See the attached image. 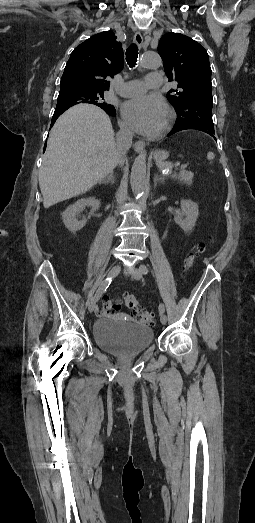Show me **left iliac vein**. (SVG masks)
<instances>
[{"label": "left iliac vein", "instance_id": "left-iliac-vein-1", "mask_svg": "<svg viewBox=\"0 0 255 523\" xmlns=\"http://www.w3.org/2000/svg\"><path fill=\"white\" fill-rule=\"evenodd\" d=\"M132 276L136 279V280H140L142 278V272L140 271V269L136 268V267H133L132 270ZM160 321L162 324H166L167 322V317L165 314L161 313L160 315Z\"/></svg>", "mask_w": 255, "mask_h": 523}]
</instances>
